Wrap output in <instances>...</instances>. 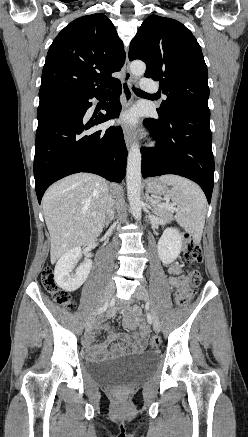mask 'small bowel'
<instances>
[{
  "mask_svg": "<svg viewBox=\"0 0 248 437\" xmlns=\"http://www.w3.org/2000/svg\"><path fill=\"white\" fill-rule=\"evenodd\" d=\"M178 270L179 267L176 265L171 266L169 268V273L171 275L169 281L170 284L173 286H177L178 284L177 279L174 277V275L178 272ZM114 314H115V310H110L106 314V317H111ZM99 326L108 332V338L105 342L94 345L93 333L92 332L88 333L83 339L85 354L88 358L98 360V359L106 358L109 355L114 356L123 352H140L144 349L143 337L146 334V330L143 326L140 327V333L135 334L134 336H129L123 333L115 332L108 325L104 323H100ZM128 326L133 327L134 323L131 320H129ZM118 339L122 340L123 342L116 343L115 345H113L111 351L109 352L108 351L109 345L113 341Z\"/></svg>",
  "mask_w": 248,
  "mask_h": 437,
  "instance_id": "c3829d8e",
  "label": "small bowel"
}]
</instances>
